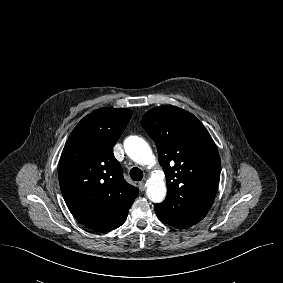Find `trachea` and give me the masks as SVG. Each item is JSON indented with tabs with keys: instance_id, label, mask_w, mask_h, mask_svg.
Returning <instances> with one entry per match:
<instances>
[{
	"instance_id": "1",
	"label": "trachea",
	"mask_w": 283,
	"mask_h": 283,
	"mask_svg": "<svg viewBox=\"0 0 283 283\" xmlns=\"http://www.w3.org/2000/svg\"><path fill=\"white\" fill-rule=\"evenodd\" d=\"M130 177L133 181H140L143 178V172L138 167H133L130 170Z\"/></svg>"
}]
</instances>
